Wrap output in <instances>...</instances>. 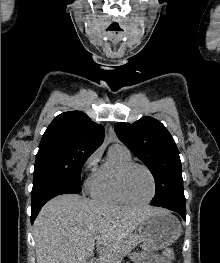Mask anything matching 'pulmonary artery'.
I'll list each match as a JSON object with an SVG mask.
<instances>
[{"label":"pulmonary artery","mask_w":220,"mask_h":263,"mask_svg":"<svg viewBox=\"0 0 220 263\" xmlns=\"http://www.w3.org/2000/svg\"><path fill=\"white\" fill-rule=\"evenodd\" d=\"M113 146L117 147L118 149H120L126 153H129V150L127 149V147L121 143H116Z\"/></svg>","instance_id":"obj_1"}]
</instances>
